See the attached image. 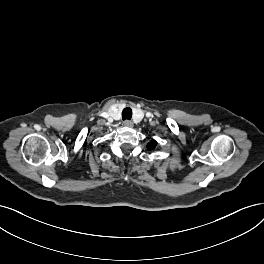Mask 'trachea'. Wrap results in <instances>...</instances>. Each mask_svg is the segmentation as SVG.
Instances as JSON below:
<instances>
[{
	"label": "trachea",
	"mask_w": 264,
	"mask_h": 264,
	"mask_svg": "<svg viewBox=\"0 0 264 264\" xmlns=\"http://www.w3.org/2000/svg\"><path fill=\"white\" fill-rule=\"evenodd\" d=\"M131 117H132L131 108L127 107V108L123 109V111H122V119L123 120H130Z\"/></svg>",
	"instance_id": "3493384b"
}]
</instances>
